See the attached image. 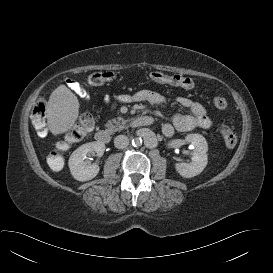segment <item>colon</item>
I'll return each instance as SVG.
<instances>
[{"mask_svg":"<svg viewBox=\"0 0 273 273\" xmlns=\"http://www.w3.org/2000/svg\"><path fill=\"white\" fill-rule=\"evenodd\" d=\"M115 78L112 72H93L89 75L88 81L92 85H103L111 82ZM149 79L158 84H169L173 86H180L183 88L191 89L194 87V82L181 75H167L162 72L153 71L149 73ZM213 104L218 109H224L227 106V101L224 97L217 96L213 99ZM46 110L47 101L44 98H40L34 105L31 120L34 128L39 135L43 136L47 132L46 124ZM95 121L90 113L82 114L76 124L69 131L66 142L71 144L81 140L88 132L93 130ZM219 131L223 136L226 147L233 148L237 143V136L231 127L225 124L219 125ZM62 159L59 153H56L50 159V165L53 168H59L61 166Z\"/></svg>","mask_w":273,"mask_h":273,"instance_id":"5ec220e1","label":"colon"}]
</instances>
